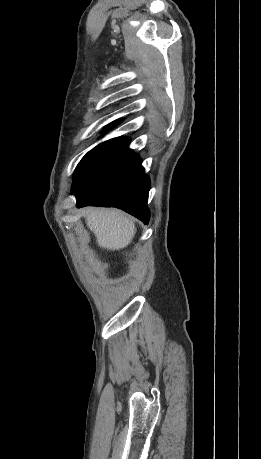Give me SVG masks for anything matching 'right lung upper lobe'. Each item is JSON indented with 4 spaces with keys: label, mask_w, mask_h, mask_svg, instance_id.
I'll use <instances>...</instances> for the list:
<instances>
[{
    "label": "right lung upper lobe",
    "mask_w": 261,
    "mask_h": 459,
    "mask_svg": "<svg viewBox=\"0 0 261 459\" xmlns=\"http://www.w3.org/2000/svg\"><path fill=\"white\" fill-rule=\"evenodd\" d=\"M120 121H117V122H113L112 124H110L106 129H110V128H113L114 126H116Z\"/></svg>",
    "instance_id": "cb5924a9"
}]
</instances>
